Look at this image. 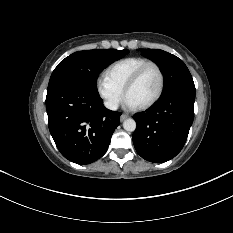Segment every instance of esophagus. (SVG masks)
Returning a JSON list of instances; mask_svg holds the SVG:
<instances>
[{
	"label": "esophagus",
	"instance_id": "esophagus-1",
	"mask_svg": "<svg viewBox=\"0 0 233 233\" xmlns=\"http://www.w3.org/2000/svg\"><path fill=\"white\" fill-rule=\"evenodd\" d=\"M128 118V115H126V114H122L121 116H120V120L121 121H124L125 119H127Z\"/></svg>",
	"mask_w": 233,
	"mask_h": 233
}]
</instances>
